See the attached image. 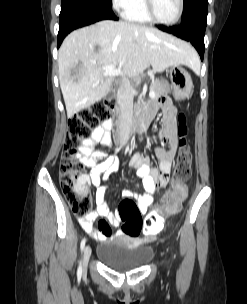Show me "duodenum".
<instances>
[{
    "label": "duodenum",
    "mask_w": 247,
    "mask_h": 304,
    "mask_svg": "<svg viewBox=\"0 0 247 304\" xmlns=\"http://www.w3.org/2000/svg\"><path fill=\"white\" fill-rule=\"evenodd\" d=\"M119 114H120V108H117L115 110L114 119L112 121L113 122V135L115 137L113 140L115 141V144H118V138H119V131H118V127L120 125L119 124ZM154 115H155V112L153 110L147 108L140 117H138L137 115L132 117L136 120H134V122H133L134 126H130V129L136 130V129L143 128V129L148 130L150 127L148 125L141 127L142 123H140V122L143 121L145 123H149L153 119ZM138 124H139V126H137ZM130 125H132V124H130Z\"/></svg>",
    "instance_id": "410a0bca"
}]
</instances>
